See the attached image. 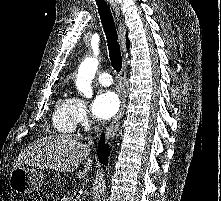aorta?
<instances>
[{"label":"aorta","instance_id":"1","mask_svg":"<svg viewBox=\"0 0 221 201\" xmlns=\"http://www.w3.org/2000/svg\"><path fill=\"white\" fill-rule=\"evenodd\" d=\"M98 50H94V57L87 59L81 67V70L78 73L76 86L79 91H81L86 97L92 95L91 82L95 76V73L98 68Z\"/></svg>","mask_w":221,"mask_h":201}]
</instances>
